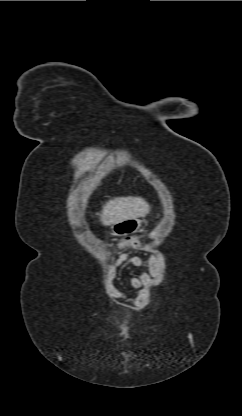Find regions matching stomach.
<instances>
[{"label": "stomach", "instance_id": "obj_1", "mask_svg": "<svg viewBox=\"0 0 242 416\" xmlns=\"http://www.w3.org/2000/svg\"><path fill=\"white\" fill-rule=\"evenodd\" d=\"M141 227V220L127 219L111 226L112 234L114 236L125 237L133 234Z\"/></svg>", "mask_w": 242, "mask_h": 416}]
</instances>
